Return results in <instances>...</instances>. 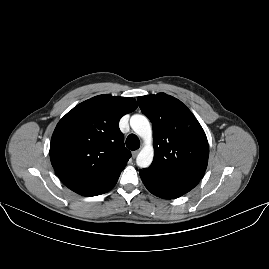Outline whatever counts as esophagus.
Wrapping results in <instances>:
<instances>
[{"mask_svg":"<svg viewBox=\"0 0 269 269\" xmlns=\"http://www.w3.org/2000/svg\"><path fill=\"white\" fill-rule=\"evenodd\" d=\"M138 153H139V150H135V151H133V152H132V157H133V158H136L137 155H138Z\"/></svg>","mask_w":269,"mask_h":269,"instance_id":"1","label":"esophagus"}]
</instances>
